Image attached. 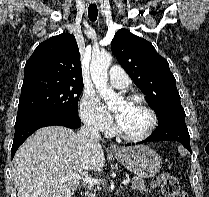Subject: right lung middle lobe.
<instances>
[{
  "label": "right lung middle lobe",
  "mask_w": 209,
  "mask_h": 197,
  "mask_svg": "<svg viewBox=\"0 0 209 197\" xmlns=\"http://www.w3.org/2000/svg\"><path fill=\"white\" fill-rule=\"evenodd\" d=\"M82 90L83 83L73 81L36 80L24 83L16 120L48 111L78 115Z\"/></svg>",
  "instance_id": "dd1d6c3e"
}]
</instances>
